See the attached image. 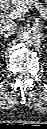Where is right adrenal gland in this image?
<instances>
[{
    "label": "right adrenal gland",
    "mask_w": 47,
    "mask_h": 129,
    "mask_svg": "<svg viewBox=\"0 0 47 129\" xmlns=\"http://www.w3.org/2000/svg\"><path fill=\"white\" fill-rule=\"evenodd\" d=\"M9 34L8 33H3V32H0V38H3V42L6 41V38H8Z\"/></svg>",
    "instance_id": "2a0ac1e0"
}]
</instances>
